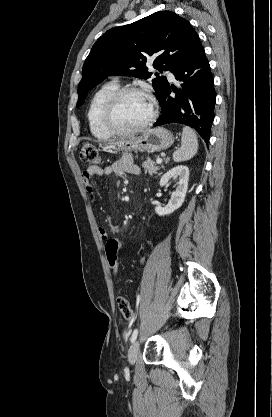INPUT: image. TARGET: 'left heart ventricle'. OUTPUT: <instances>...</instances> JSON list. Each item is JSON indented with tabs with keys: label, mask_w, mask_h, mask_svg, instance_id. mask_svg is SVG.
<instances>
[{
	"label": "left heart ventricle",
	"mask_w": 272,
	"mask_h": 417,
	"mask_svg": "<svg viewBox=\"0 0 272 417\" xmlns=\"http://www.w3.org/2000/svg\"><path fill=\"white\" fill-rule=\"evenodd\" d=\"M151 114L148 100L140 95H128L118 104L114 116V125L123 130L143 124Z\"/></svg>",
	"instance_id": "obj_1"
}]
</instances>
